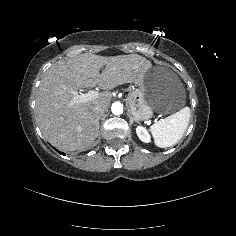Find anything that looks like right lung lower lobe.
<instances>
[{
    "label": "right lung lower lobe",
    "mask_w": 236,
    "mask_h": 236,
    "mask_svg": "<svg viewBox=\"0 0 236 236\" xmlns=\"http://www.w3.org/2000/svg\"><path fill=\"white\" fill-rule=\"evenodd\" d=\"M60 154H62V155H64V153H62V152H60V151H58Z\"/></svg>",
    "instance_id": "obj_1"
}]
</instances>
